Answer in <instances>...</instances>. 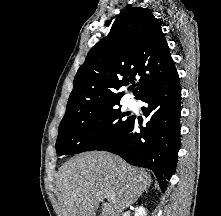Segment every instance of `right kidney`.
Masks as SVG:
<instances>
[{
  "mask_svg": "<svg viewBox=\"0 0 221 216\" xmlns=\"http://www.w3.org/2000/svg\"><path fill=\"white\" fill-rule=\"evenodd\" d=\"M135 216H147L146 209L144 207H142V206L139 207V208H136Z\"/></svg>",
  "mask_w": 221,
  "mask_h": 216,
  "instance_id": "1",
  "label": "right kidney"
}]
</instances>
